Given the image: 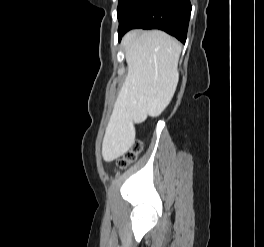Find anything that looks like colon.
Returning <instances> with one entry per match:
<instances>
[{
  "label": "colon",
  "instance_id": "1",
  "mask_svg": "<svg viewBox=\"0 0 264 247\" xmlns=\"http://www.w3.org/2000/svg\"><path fill=\"white\" fill-rule=\"evenodd\" d=\"M141 149L142 144L140 142L135 143L133 148L119 159V167L121 169L127 168L136 159V156L141 151Z\"/></svg>",
  "mask_w": 264,
  "mask_h": 247
}]
</instances>
